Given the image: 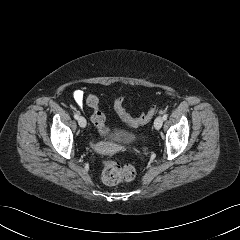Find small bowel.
Instances as JSON below:
<instances>
[{
  "mask_svg": "<svg viewBox=\"0 0 240 240\" xmlns=\"http://www.w3.org/2000/svg\"><path fill=\"white\" fill-rule=\"evenodd\" d=\"M74 100L78 105H82L84 102V92L82 90H76L73 94ZM96 148L99 150L104 149L102 145H96Z\"/></svg>",
  "mask_w": 240,
  "mask_h": 240,
  "instance_id": "c3829d8e",
  "label": "small bowel"
}]
</instances>
